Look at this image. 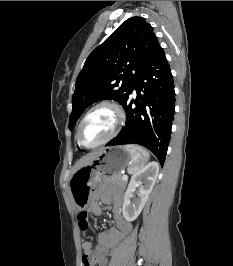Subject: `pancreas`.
<instances>
[{
	"mask_svg": "<svg viewBox=\"0 0 233 266\" xmlns=\"http://www.w3.org/2000/svg\"><path fill=\"white\" fill-rule=\"evenodd\" d=\"M107 181L115 183L122 187L126 185V181L122 179V175L120 173L111 175L110 177L107 178Z\"/></svg>",
	"mask_w": 233,
	"mask_h": 266,
	"instance_id": "pancreas-1",
	"label": "pancreas"
}]
</instances>
